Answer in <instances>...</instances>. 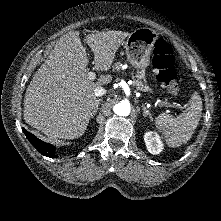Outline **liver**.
Wrapping results in <instances>:
<instances>
[{"instance_id": "1", "label": "liver", "mask_w": 221, "mask_h": 221, "mask_svg": "<svg viewBox=\"0 0 221 221\" xmlns=\"http://www.w3.org/2000/svg\"><path fill=\"white\" fill-rule=\"evenodd\" d=\"M79 34L70 31L60 37L24 97L25 122L52 139L81 137L97 105L95 88L112 81L111 75H101L97 82L88 78L89 59ZM130 34L109 30L86 36L99 70L111 68L117 50Z\"/></svg>"}]
</instances>
